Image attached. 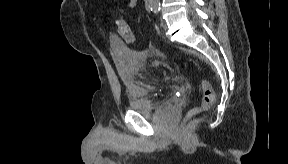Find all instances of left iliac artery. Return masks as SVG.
I'll return each mask as SVG.
<instances>
[{"label": "left iliac artery", "mask_w": 288, "mask_h": 164, "mask_svg": "<svg viewBox=\"0 0 288 164\" xmlns=\"http://www.w3.org/2000/svg\"><path fill=\"white\" fill-rule=\"evenodd\" d=\"M148 6L151 11L158 13L160 11V2L159 0H148Z\"/></svg>", "instance_id": "44dca946"}]
</instances>
